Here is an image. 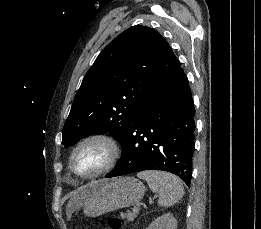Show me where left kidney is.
I'll return each mask as SVG.
<instances>
[{"instance_id": "left-kidney-1", "label": "left kidney", "mask_w": 261, "mask_h": 229, "mask_svg": "<svg viewBox=\"0 0 261 229\" xmlns=\"http://www.w3.org/2000/svg\"><path fill=\"white\" fill-rule=\"evenodd\" d=\"M147 229H177V221L171 213H166V215L155 219Z\"/></svg>"}]
</instances>
